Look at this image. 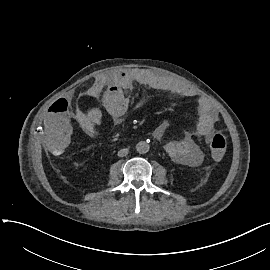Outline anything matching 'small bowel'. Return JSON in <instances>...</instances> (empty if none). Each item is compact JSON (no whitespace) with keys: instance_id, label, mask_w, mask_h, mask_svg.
I'll use <instances>...</instances> for the list:
<instances>
[{"instance_id":"obj_1","label":"small bowel","mask_w":270,"mask_h":270,"mask_svg":"<svg viewBox=\"0 0 270 270\" xmlns=\"http://www.w3.org/2000/svg\"><path fill=\"white\" fill-rule=\"evenodd\" d=\"M140 84L154 91H166L187 98H195L197 93L187 85L160 72L131 68L108 73L97 77L86 92V96L101 98L106 112L115 126L124 122L129 109L130 93L134 84ZM77 100L70 93L56 94L45 106V118L41 122L40 138L52 151L69 147L73 142V133L77 124L91 137L99 135V127L104 123L102 112L95 106L86 111H77ZM199 120L197 134L202 137L214 132L217 116L205 98L198 99ZM167 123L159 124L153 131L156 140L162 141L166 152L180 163L197 167L204 160V153L195 142L192 132L186 130L179 139L165 141Z\"/></svg>"}]
</instances>
